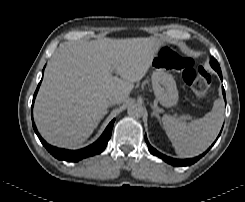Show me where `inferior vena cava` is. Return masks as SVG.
I'll list each match as a JSON object with an SVG mask.
<instances>
[{
    "instance_id": "inferior-vena-cava-1",
    "label": "inferior vena cava",
    "mask_w": 245,
    "mask_h": 202,
    "mask_svg": "<svg viewBox=\"0 0 245 202\" xmlns=\"http://www.w3.org/2000/svg\"><path fill=\"white\" fill-rule=\"evenodd\" d=\"M120 102V96L118 94H111L106 98L107 105H115Z\"/></svg>"
}]
</instances>
